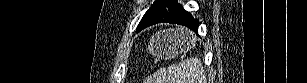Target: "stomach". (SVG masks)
<instances>
[{
    "instance_id": "0dacf381",
    "label": "stomach",
    "mask_w": 307,
    "mask_h": 83,
    "mask_svg": "<svg viewBox=\"0 0 307 83\" xmlns=\"http://www.w3.org/2000/svg\"><path fill=\"white\" fill-rule=\"evenodd\" d=\"M195 45L194 35L183 29H169L155 34L147 50L156 58H173Z\"/></svg>"
}]
</instances>
